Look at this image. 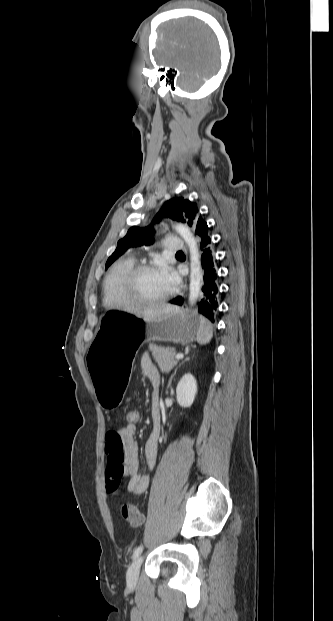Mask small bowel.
<instances>
[{
	"label": "small bowel",
	"instance_id": "c3829d8e",
	"mask_svg": "<svg viewBox=\"0 0 333 621\" xmlns=\"http://www.w3.org/2000/svg\"><path fill=\"white\" fill-rule=\"evenodd\" d=\"M141 371L153 386L151 415L154 430L144 445V457L152 468L158 456V437L160 412L158 406L159 372L148 355L141 359ZM136 425L124 424L118 430L106 435L105 442V480L106 489L115 494L119 491L123 477L128 478L127 489L135 496L144 494L149 486V475L139 473V449L135 439Z\"/></svg>",
	"mask_w": 333,
	"mask_h": 621
}]
</instances>
